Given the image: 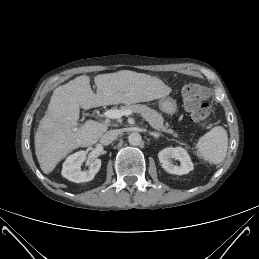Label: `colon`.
<instances>
[{
  "instance_id": "5ec220e1",
  "label": "colon",
  "mask_w": 259,
  "mask_h": 259,
  "mask_svg": "<svg viewBox=\"0 0 259 259\" xmlns=\"http://www.w3.org/2000/svg\"><path fill=\"white\" fill-rule=\"evenodd\" d=\"M210 93L199 84H187L182 89V99L185 110L198 126L204 127L210 120L211 109L208 104Z\"/></svg>"
}]
</instances>
